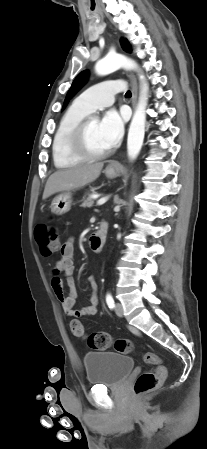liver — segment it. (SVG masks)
Returning <instances> with one entry per match:
<instances>
[{
	"label": "liver",
	"mask_w": 207,
	"mask_h": 449,
	"mask_svg": "<svg viewBox=\"0 0 207 449\" xmlns=\"http://www.w3.org/2000/svg\"><path fill=\"white\" fill-rule=\"evenodd\" d=\"M103 168V163L79 165L53 173L47 180L43 200L51 195L82 187L95 181Z\"/></svg>",
	"instance_id": "1"
}]
</instances>
